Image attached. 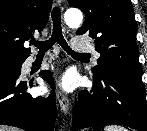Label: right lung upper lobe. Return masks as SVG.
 <instances>
[{
    "label": "right lung upper lobe",
    "instance_id": "right-lung-upper-lobe-1",
    "mask_svg": "<svg viewBox=\"0 0 147 131\" xmlns=\"http://www.w3.org/2000/svg\"><path fill=\"white\" fill-rule=\"evenodd\" d=\"M52 0H0V59L25 60L24 42L48 22Z\"/></svg>",
    "mask_w": 147,
    "mask_h": 131
}]
</instances>
